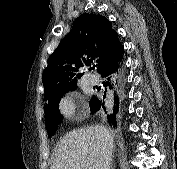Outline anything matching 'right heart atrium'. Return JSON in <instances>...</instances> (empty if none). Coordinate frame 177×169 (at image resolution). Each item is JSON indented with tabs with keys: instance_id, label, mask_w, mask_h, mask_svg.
Instances as JSON below:
<instances>
[{
	"instance_id": "d8ad5b80",
	"label": "right heart atrium",
	"mask_w": 177,
	"mask_h": 169,
	"mask_svg": "<svg viewBox=\"0 0 177 169\" xmlns=\"http://www.w3.org/2000/svg\"><path fill=\"white\" fill-rule=\"evenodd\" d=\"M76 103L70 96H65L59 104L61 113L66 117H72L76 113Z\"/></svg>"
}]
</instances>
